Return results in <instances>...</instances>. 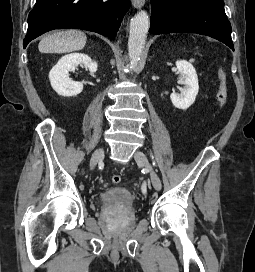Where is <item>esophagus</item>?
I'll list each match as a JSON object with an SVG mask.
<instances>
[{
    "label": "esophagus",
    "mask_w": 255,
    "mask_h": 272,
    "mask_svg": "<svg viewBox=\"0 0 255 272\" xmlns=\"http://www.w3.org/2000/svg\"><path fill=\"white\" fill-rule=\"evenodd\" d=\"M132 1V5L135 7V8H141L144 6L145 4V0H131Z\"/></svg>",
    "instance_id": "obj_1"
}]
</instances>
